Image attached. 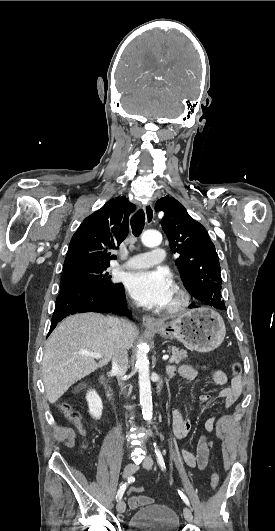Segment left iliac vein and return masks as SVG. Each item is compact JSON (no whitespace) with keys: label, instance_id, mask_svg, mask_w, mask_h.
<instances>
[{"label":"left iliac vein","instance_id":"obj_1","mask_svg":"<svg viewBox=\"0 0 275 531\" xmlns=\"http://www.w3.org/2000/svg\"><path fill=\"white\" fill-rule=\"evenodd\" d=\"M153 463H154L153 459L150 456H146L144 461H143V466L146 469H151L152 466H153ZM183 514H184V517H185V519H186V521L188 523H192L193 522V514H192L191 510L188 507H184Z\"/></svg>","mask_w":275,"mask_h":531}]
</instances>
